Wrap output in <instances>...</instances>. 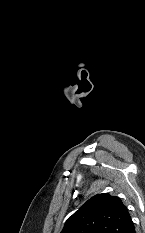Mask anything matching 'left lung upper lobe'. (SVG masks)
I'll return each mask as SVG.
<instances>
[{"label":"left lung upper lobe","mask_w":145,"mask_h":233,"mask_svg":"<svg viewBox=\"0 0 145 233\" xmlns=\"http://www.w3.org/2000/svg\"><path fill=\"white\" fill-rule=\"evenodd\" d=\"M134 223L120 198L98 194L66 222L61 233H133Z\"/></svg>","instance_id":"5c2ea615"}]
</instances>
